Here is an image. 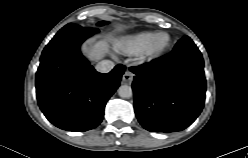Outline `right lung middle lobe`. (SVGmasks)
Returning <instances> with one entry per match:
<instances>
[{
    "mask_svg": "<svg viewBox=\"0 0 248 158\" xmlns=\"http://www.w3.org/2000/svg\"><path fill=\"white\" fill-rule=\"evenodd\" d=\"M107 24V22L105 21H100L98 22V25L102 26ZM81 26L79 25H74V24H67L66 26H64L62 29H73V28H80Z\"/></svg>",
    "mask_w": 248,
    "mask_h": 158,
    "instance_id": "right-lung-middle-lobe-1",
    "label": "right lung middle lobe"
}]
</instances>
